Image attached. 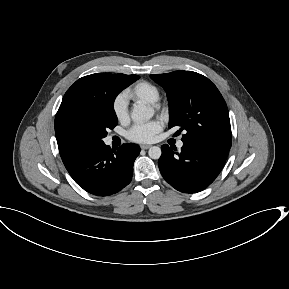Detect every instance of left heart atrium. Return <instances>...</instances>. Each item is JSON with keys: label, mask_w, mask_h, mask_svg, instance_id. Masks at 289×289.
<instances>
[{"label": "left heart atrium", "mask_w": 289, "mask_h": 289, "mask_svg": "<svg viewBox=\"0 0 289 289\" xmlns=\"http://www.w3.org/2000/svg\"><path fill=\"white\" fill-rule=\"evenodd\" d=\"M161 127L157 120L136 124L127 132V138L137 143H149L154 140Z\"/></svg>", "instance_id": "left-heart-atrium-1"}]
</instances>
